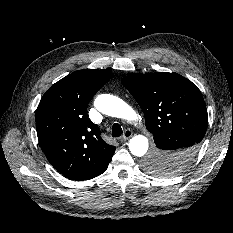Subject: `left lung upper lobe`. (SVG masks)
Masks as SVG:
<instances>
[{"label": "left lung upper lobe", "instance_id": "5c2ea615", "mask_svg": "<svg viewBox=\"0 0 233 233\" xmlns=\"http://www.w3.org/2000/svg\"><path fill=\"white\" fill-rule=\"evenodd\" d=\"M122 83L140 105L146 128L154 135L178 133L193 140L197 153L208 123L204 99L195 84L176 73H133ZM171 153L156 146L144 160V167L160 176L174 175L185 168L171 162ZM189 165V164H188Z\"/></svg>", "mask_w": 233, "mask_h": 233}]
</instances>
